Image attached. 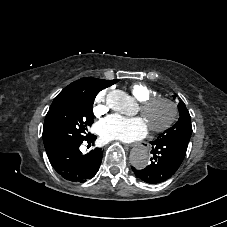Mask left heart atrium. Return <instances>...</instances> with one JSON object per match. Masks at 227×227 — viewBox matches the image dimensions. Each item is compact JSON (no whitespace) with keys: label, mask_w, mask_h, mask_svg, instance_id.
I'll return each mask as SVG.
<instances>
[{"label":"left heart atrium","mask_w":227,"mask_h":227,"mask_svg":"<svg viewBox=\"0 0 227 227\" xmlns=\"http://www.w3.org/2000/svg\"><path fill=\"white\" fill-rule=\"evenodd\" d=\"M148 127L141 117L125 119L118 115H112L101 120L96 130L104 141L133 142L144 138L148 133Z\"/></svg>","instance_id":"1"}]
</instances>
